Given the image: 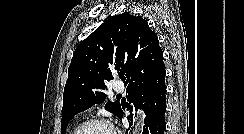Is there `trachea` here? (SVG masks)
<instances>
[{"label": "trachea", "instance_id": "trachea-1", "mask_svg": "<svg viewBox=\"0 0 244 134\" xmlns=\"http://www.w3.org/2000/svg\"><path fill=\"white\" fill-rule=\"evenodd\" d=\"M117 97H121V95H117Z\"/></svg>", "mask_w": 244, "mask_h": 134}]
</instances>
